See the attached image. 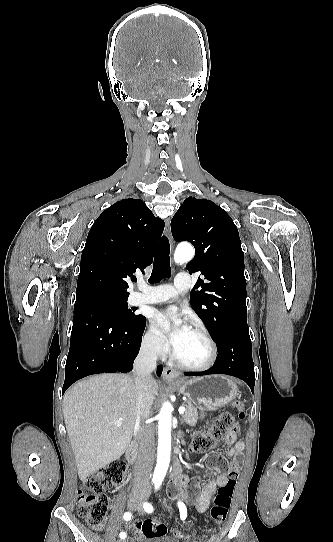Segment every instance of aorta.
Masks as SVG:
<instances>
[{"mask_svg": "<svg viewBox=\"0 0 333 542\" xmlns=\"http://www.w3.org/2000/svg\"><path fill=\"white\" fill-rule=\"evenodd\" d=\"M193 256L194 250L192 246H184V248H180L178 256L175 254L174 260L176 264H183V262L191 260ZM172 412L173 408L170 402H165L158 414V456L152 478L155 488L161 486L170 462Z\"/></svg>", "mask_w": 333, "mask_h": 542, "instance_id": "aorta-1", "label": "aorta"}]
</instances>
